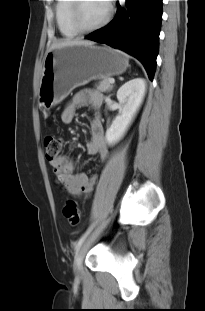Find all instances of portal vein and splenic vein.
Segmentation results:
<instances>
[{
    "label": "portal vein and splenic vein",
    "mask_w": 205,
    "mask_h": 311,
    "mask_svg": "<svg viewBox=\"0 0 205 311\" xmlns=\"http://www.w3.org/2000/svg\"><path fill=\"white\" fill-rule=\"evenodd\" d=\"M109 82H110L111 84H114V83H115L114 78H110V79H109Z\"/></svg>",
    "instance_id": "portal-vein-and-splenic-vein-1"
}]
</instances>
